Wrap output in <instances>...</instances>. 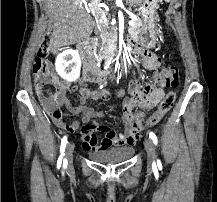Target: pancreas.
Returning a JSON list of instances; mask_svg holds the SVG:
<instances>
[{
    "label": "pancreas",
    "instance_id": "pancreas-1",
    "mask_svg": "<svg viewBox=\"0 0 217 202\" xmlns=\"http://www.w3.org/2000/svg\"><path fill=\"white\" fill-rule=\"evenodd\" d=\"M135 22V26H130V28H128V32L131 36V38L136 41L138 40V34H140L141 32V26H142V22L141 20H134ZM108 42H107V48H111L112 44H114V42H116L117 40V32L115 30V28H112L111 30V34H109L108 38H107Z\"/></svg>",
    "mask_w": 217,
    "mask_h": 202
}]
</instances>
